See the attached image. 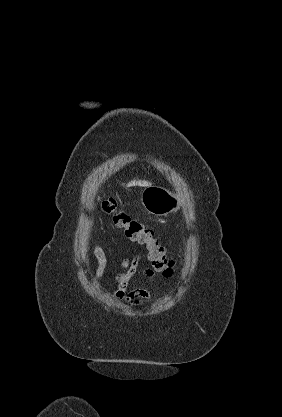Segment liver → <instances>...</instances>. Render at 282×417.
I'll return each mask as SVG.
<instances>
[{
	"label": "liver",
	"instance_id": "1",
	"mask_svg": "<svg viewBox=\"0 0 282 417\" xmlns=\"http://www.w3.org/2000/svg\"><path fill=\"white\" fill-rule=\"evenodd\" d=\"M135 184H139V186H149L152 182H147V180H131V182H128L127 186H135Z\"/></svg>",
	"mask_w": 282,
	"mask_h": 417
}]
</instances>
